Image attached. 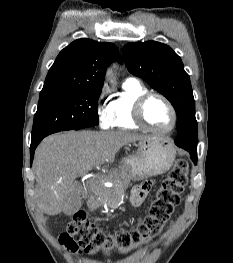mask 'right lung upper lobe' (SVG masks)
Instances as JSON below:
<instances>
[{
    "label": "right lung upper lobe",
    "mask_w": 233,
    "mask_h": 263,
    "mask_svg": "<svg viewBox=\"0 0 233 263\" xmlns=\"http://www.w3.org/2000/svg\"><path fill=\"white\" fill-rule=\"evenodd\" d=\"M121 56L112 43L78 39L64 48L50 68L40 95L76 89H101L105 69Z\"/></svg>",
    "instance_id": "obj_1"
}]
</instances>
